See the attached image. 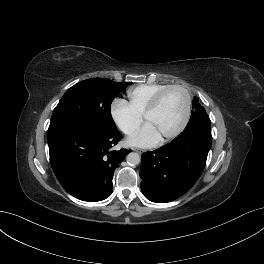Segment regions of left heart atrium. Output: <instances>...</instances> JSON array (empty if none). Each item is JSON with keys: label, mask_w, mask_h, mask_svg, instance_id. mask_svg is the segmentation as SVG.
Returning <instances> with one entry per match:
<instances>
[{"label": "left heart atrium", "mask_w": 264, "mask_h": 264, "mask_svg": "<svg viewBox=\"0 0 264 264\" xmlns=\"http://www.w3.org/2000/svg\"><path fill=\"white\" fill-rule=\"evenodd\" d=\"M161 139L157 130L150 123H145L141 129L127 139L126 143L134 147L147 148L157 145Z\"/></svg>", "instance_id": "1"}]
</instances>
